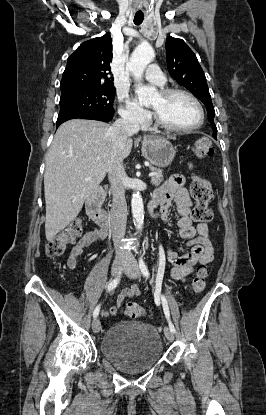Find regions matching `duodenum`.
<instances>
[{
	"label": "duodenum",
	"instance_id": "obj_1",
	"mask_svg": "<svg viewBox=\"0 0 266 415\" xmlns=\"http://www.w3.org/2000/svg\"><path fill=\"white\" fill-rule=\"evenodd\" d=\"M102 195L103 188L100 186L96 187L86 200V211L88 216L99 228L107 231L110 226V217L101 207Z\"/></svg>",
	"mask_w": 266,
	"mask_h": 415
}]
</instances>
